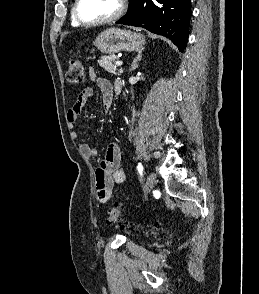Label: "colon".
<instances>
[{"mask_svg":"<svg viewBox=\"0 0 259 294\" xmlns=\"http://www.w3.org/2000/svg\"><path fill=\"white\" fill-rule=\"evenodd\" d=\"M66 81L70 84H81L85 80V72L82 63L77 59H70L66 73ZM106 222L108 224H117L120 228H129L128 222L122 219L121 205L116 203L108 210Z\"/></svg>","mask_w":259,"mask_h":294,"instance_id":"5ec220e1","label":"colon"}]
</instances>
